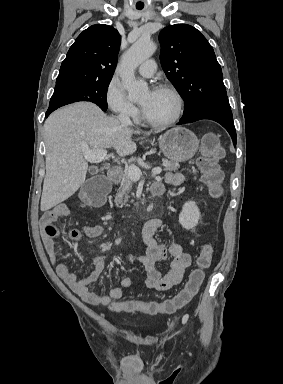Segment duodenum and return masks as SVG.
<instances>
[{
	"instance_id": "410a0bca",
	"label": "duodenum",
	"mask_w": 283,
	"mask_h": 384,
	"mask_svg": "<svg viewBox=\"0 0 283 384\" xmlns=\"http://www.w3.org/2000/svg\"><path fill=\"white\" fill-rule=\"evenodd\" d=\"M122 177V169L118 166H112L108 173H107V178L111 181V182H117L121 179ZM102 182H105V179L104 178H101ZM106 185V188H107V184L105 183ZM163 193V188L162 186L159 184V183H154L151 188H150V195L151 196H154V197H158L160 195H162ZM141 217V214H137L135 216L136 219H139Z\"/></svg>"
}]
</instances>
